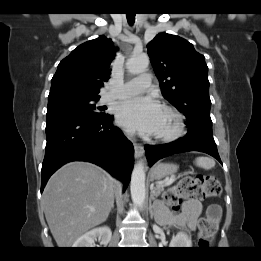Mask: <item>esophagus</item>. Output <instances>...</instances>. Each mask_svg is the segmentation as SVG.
<instances>
[{
	"mask_svg": "<svg viewBox=\"0 0 261 261\" xmlns=\"http://www.w3.org/2000/svg\"><path fill=\"white\" fill-rule=\"evenodd\" d=\"M135 157L137 159L144 157V147L140 144L134 145Z\"/></svg>",
	"mask_w": 261,
	"mask_h": 261,
	"instance_id": "obj_1",
	"label": "esophagus"
}]
</instances>
